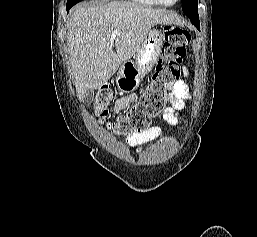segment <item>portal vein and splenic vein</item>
<instances>
[{
	"instance_id": "obj_1",
	"label": "portal vein and splenic vein",
	"mask_w": 257,
	"mask_h": 237,
	"mask_svg": "<svg viewBox=\"0 0 257 237\" xmlns=\"http://www.w3.org/2000/svg\"><path fill=\"white\" fill-rule=\"evenodd\" d=\"M118 34H119V31L114 30L113 33H112L111 38L109 39V41L113 42Z\"/></svg>"
}]
</instances>
